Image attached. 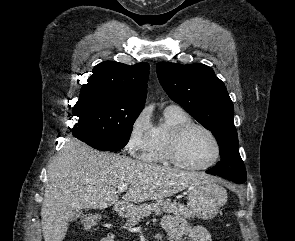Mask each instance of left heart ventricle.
<instances>
[{
  "label": "left heart ventricle",
  "instance_id": "obj_1",
  "mask_svg": "<svg viewBox=\"0 0 295 241\" xmlns=\"http://www.w3.org/2000/svg\"><path fill=\"white\" fill-rule=\"evenodd\" d=\"M215 145L204 131L191 129L182 139L179 146L180 158L190 165H204L212 160Z\"/></svg>",
  "mask_w": 295,
  "mask_h": 241
}]
</instances>
